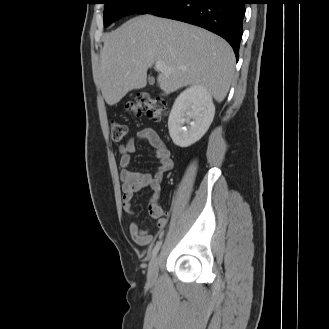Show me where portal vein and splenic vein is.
Instances as JSON below:
<instances>
[{"label":"portal vein and splenic vein","instance_id":"18ae733b","mask_svg":"<svg viewBox=\"0 0 329 329\" xmlns=\"http://www.w3.org/2000/svg\"><path fill=\"white\" fill-rule=\"evenodd\" d=\"M155 68H156L157 70H159V71H162V72H170V71H171V69L168 68V67L164 64V62H162V61H157V62H155Z\"/></svg>","mask_w":329,"mask_h":329}]
</instances>
